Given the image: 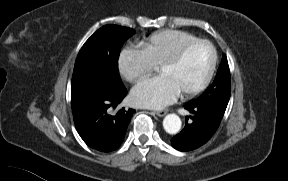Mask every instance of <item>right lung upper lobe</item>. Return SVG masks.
<instances>
[{"instance_id": "obj_1", "label": "right lung upper lobe", "mask_w": 288, "mask_h": 181, "mask_svg": "<svg viewBox=\"0 0 288 181\" xmlns=\"http://www.w3.org/2000/svg\"><path fill=\"white\" fill-rule=\"evenodd\" d=\"M80 115H81L80 113H77V114L73 115L74 121L77 120L80 117Z\"/></svg>"}]
</instances>
